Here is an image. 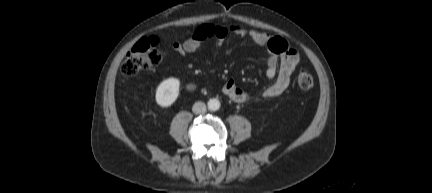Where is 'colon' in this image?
<instances>
[{
    "mask_svg": "<svg viewBox=\"0 0 432 193\" xmlns=\"http://www.w3.org/2000/svg\"><path fill=\"white\" fill-rule=\"evenodd\" d=\"M164 52L158 48V40L154 37L140 39L128 52L122 63L121 71L126 76H133L140 71L157 66L163 59ZM298 86L303 90L314 87V77L301 71L297 77Z\"/></svg>",
    "mask_w": 432,
    "mask_h": 193,
    "instance_id": "obj_1",
    "label": "colon"
}]
</instances>
